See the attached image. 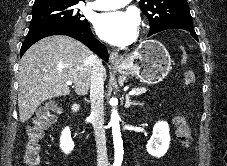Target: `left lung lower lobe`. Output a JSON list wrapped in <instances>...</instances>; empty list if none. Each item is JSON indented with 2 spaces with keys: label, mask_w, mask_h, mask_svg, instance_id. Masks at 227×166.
Listing matches in <instances>:
<instances>
[{
  "label": "left lung lower lobe",
  "mask_w": 227,
  "mask_h": 166,
  "mask_svg": "<svg viewBox=\"0 0 227 166\" xmlns=\"http://www.w3.org/2000/svg\"><path fill=\"white\" fill-rule=\"evenodd\" d=\"M176 29H181V30H184V31H187L191 34V36L196 39L198 41V37L195 33V30H194V27H183V28H176Z\"/></svg>",
  "instance_id": "obj_1"
}]
</instances>
